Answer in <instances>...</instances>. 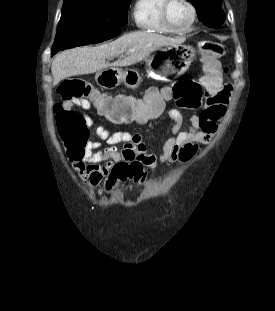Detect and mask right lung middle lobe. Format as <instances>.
Listing matches in <instances>:
<instances>
[{
  "mask_svg": "<svg viewBox=\"0 0 275 311\" xmlns=\"http://www.w3.org/2000/svg\"><path fill=\"white\" fill-rule=\"evenodd\" d=\"M131 0H64L51 55L77 46L99 43L125 23Z\"/></svg>",
  "mask_w": 275,
  "mask_h": 311,
  "instance_id": "1",
  "label": "right lung middle lobe"
}]
</instances>
